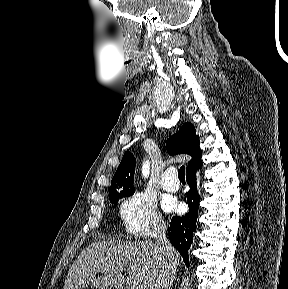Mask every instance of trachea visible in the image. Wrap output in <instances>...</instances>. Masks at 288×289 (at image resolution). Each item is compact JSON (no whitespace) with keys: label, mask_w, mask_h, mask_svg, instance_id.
<instances>
[{"label":"trachea","mask_w":288,"mask_h":289,"mask_svg":"<svg viewBox=\"0 0 288 289\" xmlns=\"http://www.w3.org/2000/svg\"><path fill=\"white\" fill-rule=\"evenodd\" d=\"M178 178L180 181H185V167L181 166L178 170Z\"/></svg>","instance_id":"trachea-1"}]
</instances>
